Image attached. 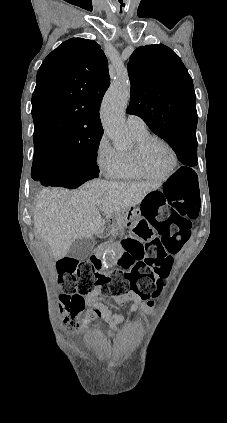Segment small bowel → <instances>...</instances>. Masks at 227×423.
Segmentation results:
<instances>
[{
  "label": "small bowel",
  "mask_w": 227,
  "mask_h": 423,
  "mask_svg": "<svg viewBox=\"0 0 227 423\" xmlns=\"http://www.w3.org/2000/svg\"><path fill=\"white\" fill-rule=\"evenodd\" d=\"M138 222L146 223L145 218H141ZM101 290L99 287L95 288L87 297L86 301L88 304L93 306V314L89 315L86 319L88 323L92 318L98 317L102 322L109 323L112 329L118 330L122 323L125 321L127 316L131 313L138 311L143 307V300L134 293H129L123 297H114L112 300L107 301L106 303L102 302ZM127 303H131L130 309L126 314L112 315L109 307L112 306H124ZM147 305L151 306L152 302L148 301Z\"/></svg>",
  "instance_id": "1"
}]
</instances>
